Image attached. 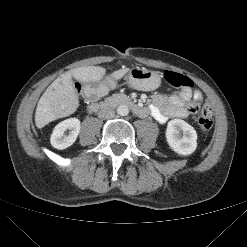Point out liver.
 Wrapping results in <instances>:
<instances>
[{
  "label": "liver",
  "instance_id": "1",
  "mask_svg": "<svg viewBox=\"0 0 247 247\" xmlns=\"http://www.w3.org/2000/svg\"><path fill=\"white\" fill-rule=\"evenodd\" d=\"M130 69L122 68L114 71L110 77L121 79ZM106 69L100 66H86L69 70L58 77L43 93L38 101L35 124L43 128L48 123L73 114L79 106V98L73 86L72 78L88 83L100 81Z\"/></svg>",
  "mask_w": 247,
  "mask_h": 247
}]
</instances>
